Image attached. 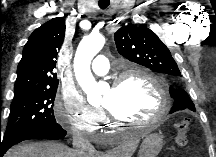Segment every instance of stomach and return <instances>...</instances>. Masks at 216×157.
Segmentation results:
<instances>
[{
  "label": "stomach",
  "instance_id": "1",
  "mask_svg": "<svg viewBox=\"0 0 216 157\" xmlns=\"http://www.w3.org/2000/svg\"><path fill=\"white\" fill-rule=\"evenodd\" d=\"M163 145V136L160 133H150L143 139L138 157H156Z\"/></svg>",
  "mask_w": 216,
  "mask_h": 157
}]
</instances>
